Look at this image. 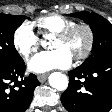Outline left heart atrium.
Instances as JSON below:
<instances>
[{
	"instance_id": "left-heart-atrium-1",
	"label": "left heart atrium",
	"mask_w": 112,
	"mask_h": 112,
	"mask_svg": "<svg viewBox=\"0 0 112 112\" xmlns=\"http://www.w3.org/2000/svg\"><path fill=\"white\" fill-rule=\"evenodd\" d=\"M72 57L61 48L36 54L28 61V67L36 73H44L52 69H63L70 66Z\"/></svg>"
}]
</instances>
